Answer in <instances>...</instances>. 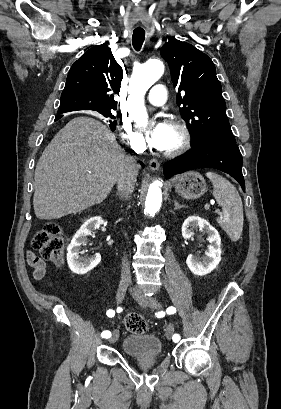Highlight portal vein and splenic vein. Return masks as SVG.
<instances>
[{
	"label": "portal vein and splenic vein",
	"mask_w": 281,
	"mask_h": 409,
	"mask_svg": "<svg viewBox=\"0 0 281 409\" xmlns=\"http://www.w3.org/2000/svg\"><path fill=\"white\" fill-rule=\"evenodd\" d=\"M208 200H211V198H208ZM213 213H214V214H218V213H219V210H218V209H214V210H213Z\"/></svg>",
	"instance_id": "1"
}]
</instances>
